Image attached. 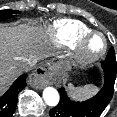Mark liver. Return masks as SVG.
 Returning <instances> with one entry per match:
<instances>
[{
	"mask_svg": "<svg viewBox=\"0 0 117 117\" xmlns=\"http://www.w3.org/2000/svg\"><path fill=\"white\" fill-rule=\"evenodd\" d=\"M48 38V30L35 26H0V95L22 73L21 64L51 55L47 48Z\"/></svg>",
	"mask_w": 117,
	"mask_h": 117,
	"instance_id": "6515ba94",
	"label": "liver"
}]
</instances>
